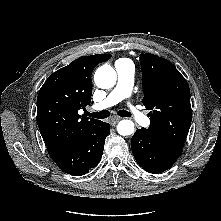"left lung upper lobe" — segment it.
<instances>
[{
	"label": "left lung upper lobe",
	"mask_w": 221,
	"mask_h": 221,
	"mask_svg": "<svg viewBox=\"0 0 221 221\" xmlns=\"http://www.w3.org/2000/svg\"><path fill=\"white\" fill-rule=\"evenodd\" d=\"M143 104L149 110L148 134L165 145L182 149L191 120L187 81L168 60L141 54Z\"/></svg>",
	"instance_id": "left-lung-upper-lobe-1"
}]
</instances>
